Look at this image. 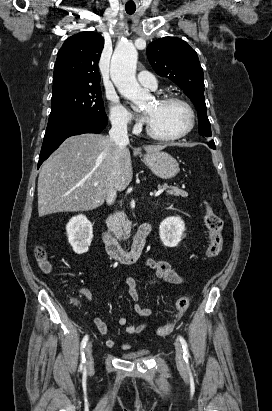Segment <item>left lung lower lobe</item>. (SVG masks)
Returning a JSON list of instances; mask_svg holds the SVG:
<instances>
[{"label":"left lung lower lobe","mask_w":272,"mask_h":411,"mask_svg":"<svg viewBox=\"0 0 272 411\" xmlns=\"http://www.w3.org/2000/svg\"><path fill=\"white\" fill-rule=\"evenodd\" d=\"M209 147H211L212 149H215V144L213 141L210 142Z\"/></svg>","instance_id":"left-lung-lower-lobe-1"}]
</instances>
